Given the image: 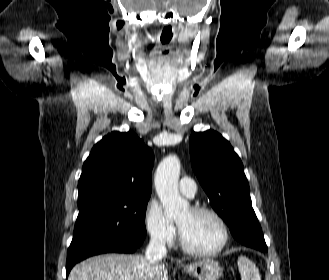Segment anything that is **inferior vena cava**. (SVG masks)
Here are the masks:
<instances>
[{
	"label": "inferior vena cava",
	"instance_id": "inferior-vena-cava-1",
	"mask_svg": "<svg viewBox=\"0 0 329 280\" xmlns=\"http://www.w3.org/2000/svg\"><path fill=\"white\" fill-rule=\"evenodd\" d=\"M166 255L167 249L165 246V241L161 237H152L147 246L145 258L151 262H159Z\"/></svg>",
	"mask_w": 329,
	"mask_h": 280
}]
</instances>
